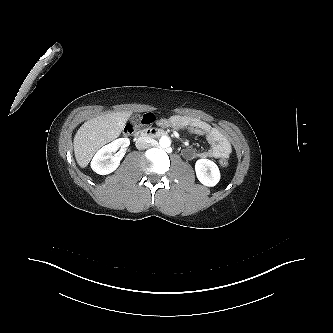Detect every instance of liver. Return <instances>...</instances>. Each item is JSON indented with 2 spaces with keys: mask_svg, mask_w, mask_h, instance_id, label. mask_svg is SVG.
Instances as JSON below:
<instances>
[{
  "mask_svg": "<svg viewBox=\"0 0 333 333\" xmlns=\"http://www.w3.org/2000/svg\"><path fill=\"white\" fill-rule=\"evenodd\" d=\"M130 115L128 112H112L86 121L74 138V153L78 165L87 167L100 147L120 135Z\"/></svg>",
  "mask_w": 333,
  "mask_h": 333,
  "instance_id": "liver-1",
  "label": "liver"
}]
</instances>
